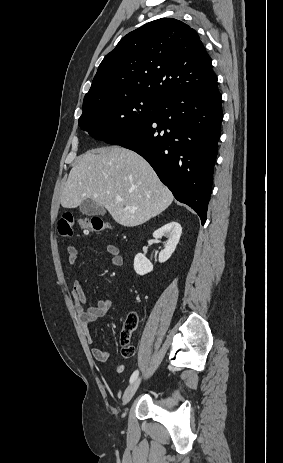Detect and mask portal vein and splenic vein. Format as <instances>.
<instances>
[{"mask_svg":"<svg viewBox=\"0 0 283 463\" xmlns=\"http://www.w3.org/2000/svg\"><path fill=\"white\" fill-rule=\"evenodd\" d=\"M118 200H119V201H122V199H121V198H118Z\"/></svg>","mask_w":283,"mask_h":463,"instance_id":"1","label":"portal vein and splenic vein"}]
</instances>
